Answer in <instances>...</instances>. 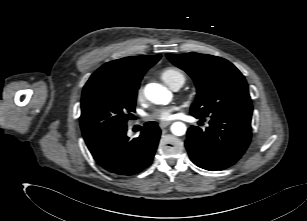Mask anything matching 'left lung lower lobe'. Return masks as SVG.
<instances>
[{
    "instance_id": "left-lung-lower-lobe-1",
    "label": "left lung lower lobe",
    "mask_w": 307,
    "mask_h": 221,
    "mask_svg": "<svg viewBox=\"0 0 307 221\" xmlns=\"http://www.w3.org/2000/svg\"><path fill=\"white\" fill-rule=\"evenodd\" d=\"M251 117L247 113L221 112L209 116L205 131L196 126L189 128L185 146L191 161L210 171L235 164L251 141Z\"/></svg>"
}]
</instances>
